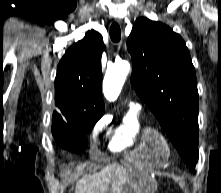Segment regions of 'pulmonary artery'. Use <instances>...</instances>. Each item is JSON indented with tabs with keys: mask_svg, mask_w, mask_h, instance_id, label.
Returning a JSON list of instances; mask_svg holds the SVG:
<instances>
[{
	"mask_svg": "<svg viewBox=\"0 0 221 193\" xmlns=\"http://www.w3.org/2000/svg\"><path fill=\"white\" fill-rule=\"evenodd\" d=\"M130 107H131V109L137 111L140 108V105H139V103L131 102Z\"/></svg>",
	"mask_w": 221,
	"mask_h": 193,
	"instance_id": "e3ab8cb5",
	"label": "pulmonary artery"
}]
</instances>
